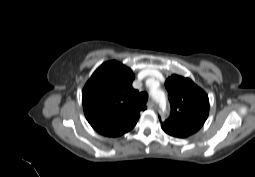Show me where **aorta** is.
Instances as JSON below:
<instances>
[{"instance_id": "obj_1", "label": "aorta", "mask_w": 255, "mask_h": 177, "mask_svg": "<svg viewBox=\"0 0 255 177\" xmlns=\"http://www.w3.org/2000/svg\"><path fill=\"white\" fill-rule=\"evenodd\" d=\"M151 95H152V98L160 103V104H163L165 102V93L162 91V90H159L155 87H152L151 88Z\"/></svg>"}]
</instances>
